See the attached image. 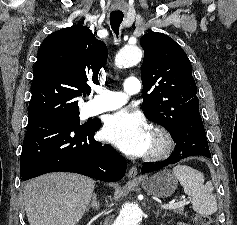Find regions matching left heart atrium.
<instances>
[{"mask_svg": "<svg viewBox=\"0 0 237 225\" xmlns=\"http://www.w3.org/2000/svg\"><path fill=\"white\" fill-rule=\"evenodd\" d=\"M103 136L131 156H141L148 150L150 133L145 120L136 113L122 110L109 116Z\"/></svg>", "mask_w": 237, "mask_h": 225, "instance_id": "39dd6f15", "label": "left heart atrium"}]
</instances>
